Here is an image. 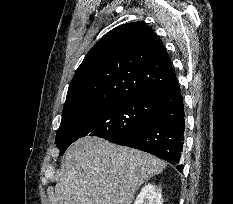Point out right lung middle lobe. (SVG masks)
<instances>
[{
	"instance_id": "1",
	"label": "right lung middle lobe",
	"mask_w": 233,
	"mask_h": 204,
	"mask_svg": "<svg viewBox=\"0 0 233 204\" xmlns=\"http://www.w3.org/2000/svg\"><path fill=\"white\" fill-rule=\"evenodd\" d=\"M151 95L111 102L72 120L57 131L56 145L62 155L74 141L85 136L112 140L122 133L135 131L155 118Z\"/></svg>"
}]
</instances>
